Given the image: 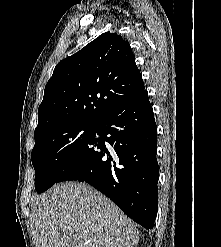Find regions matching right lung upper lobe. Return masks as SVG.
<instances>
[{"label": "right lung upper lobe", "instance_id": "right-lung-upper-lobe-1", "mask_svg": "<svg viewBox=\"0 0 221 247\" xmlns=\"http://www.w3.org/2000/svg\"><path fill=\"white\" fill-rule=\"evenodd\" d=\"M143 90L129 42L103 33L57 64L45 87L34 136L68 122L98 123Z\"/></svg>", "mask_w": 221, "mask_h": 247}]
</instances>
